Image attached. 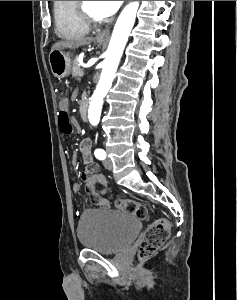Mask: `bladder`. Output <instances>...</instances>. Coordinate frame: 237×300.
Returning a JSON list of instances; mask_svg holds the SVG:
<instances>
[{
    "instance_id": "1",
    "label": "bladder",
    "mask_w": 237,
    "mask_h": 300,
    "mask_svg": "<svg viewBox=\"0 0 237 300\" xmlns=\"http://www.w3.org/2000/svg\"><path fill=\"white\" fill-rule=\"evenodd\" d=\"M141 222L131 214L117 210H90L77 225L80 245L100 254L112 255L127 249L137 238Z\"/></svg>"
}]
</instances>
